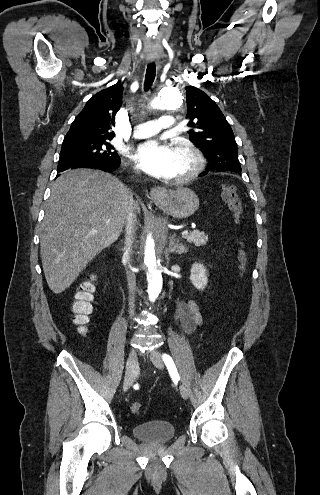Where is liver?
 I'll use <instances>...</instances> for the list:
<instances>
[{
  "mask_svg": "<svg viewBox=\"0 0 320 495\" xmlns=\"http://www.w3.org/2000/svg\"><path fill=\"white\" fill-rule=\"evenodd\" d=\"M129 194L117 178L97 170H67L56 179L40 231L42 266L54 293L66 290L90 260L119 238Z\"/></svg>",
  "mask_w": 320,
  "mask_h": 495,
  "instance_id": "liver-1",
  "label": "liver"
}]
</instances>
